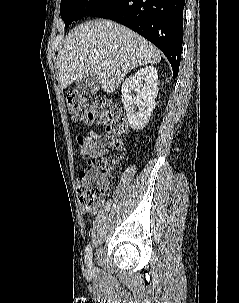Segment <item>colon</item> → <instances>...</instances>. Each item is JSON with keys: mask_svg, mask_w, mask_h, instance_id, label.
Listing matches in <instances>:
<instances>
[{"mask_svg": "<svg viewBox=\"0 0 239 303\" xmlns=\"http://www.w3.org/2000/svg\"><path fill=\"white\" fill-rule=\"evenodd\" d=\"M67 104L75 121L104 124L111 147L116 151L123 149L128 122L120 107L102 98L92 100L77 91L68 92ZM119 161L120 155H116L94 158L86 164L79 173L78 194L81 204L97 206L104 202L113 182V170Z\"/></svg>", "mask_w": 239, "mask_h": 303, "instance_id": "1", "label": "colon"}]
</instances>
